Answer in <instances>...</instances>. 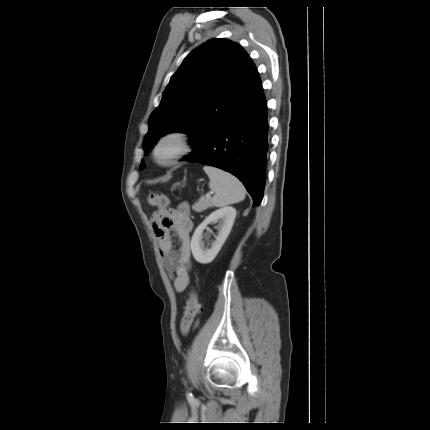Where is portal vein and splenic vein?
I'll return each mask as SVG.
<instances>
[{
	"label": "portal vein and splenic vein",
	"mask_w": 430,
	"mask_h": 430,
	"mask_svg": "<svg viewBox=\"0 0 430 430\" xmlns=\"http://www.w3.org/2000/svg\"><path fill=\"white\" fill-rule=\"evenodd\" d=\"M211 194H212V192H211V193H207V194H206V198H210V197H211Z\"/></svg>",
	"instance_id": "portal-vein-and-splenic-vein-1"
}]
</instances>
